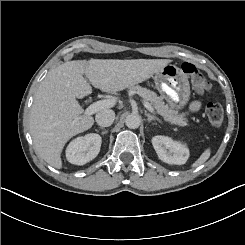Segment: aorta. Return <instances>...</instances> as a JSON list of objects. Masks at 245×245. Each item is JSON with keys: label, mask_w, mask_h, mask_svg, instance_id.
I'll use <instances>...</instances> for the list:
<instances>
[{"label": "aorta", "mask_w": 245, "mask_h": 245, "mask_svg": "<svg viewBox=\"0 0 245 245\" xmlns=\"http://www.w3.org/2000/svg\"><path fill=\"white\" fill-rule=\"evenodd\" d=\"M125 124L130 129H136L141 124V118L137 114H129L126 117Z\"/></svg>", "instance_id": "762f6f07"}]
</instances>
